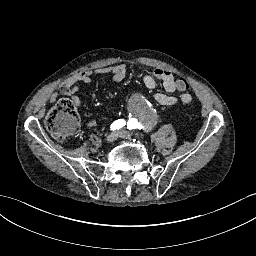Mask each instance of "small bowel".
I'll return each instance as SVG.
<instances>
[{
    "label": "small bowel",
    "mask_w": 256,
    "mask_h": 256,
    "mask_svg": "<svg viewBox=\"0 0 256 256\" xmlns=\"http://www.w3.org/2000/svg\"><path fill=\"white\" fill-rule=\"evenodd\" d=\"M127 74L126 66L123 64L112 66V67H101L93 71L80 72L72 77H70L63 85L64 93L70 97L71 102L76 107H80L81 100L76 95L78 91L79 83H91L94 76L98 75H111L112 80L116 83L122 82ZM183 80V79H181ZM181 80H176L172 72L163 68H157L153 70L151 74H147L143 77V82L145 86L149 89H154L156 87V82L160 81L167 93H157L155 95V102L161 106H171L177 102V98L171 93L175 91H180L182 94L179 99L182 103L188 104L192 100V96L187 90L182 89L179 86ZM189 88V87H188ZM57 99V94L51 95V102Z\"/></svg>",
    "instance_id": "small-bowel-1"
}]
</instances>
